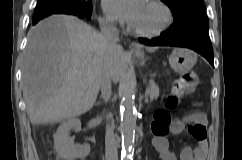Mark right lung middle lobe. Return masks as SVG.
Instances as JSON below:
<instances>
[{"label": "right lung middle lobe", "instance_id": "obj_1", "mask_svg": "<svg viewBox=\"0 0 242 160\" xmlns=\"http://www.w3.org/2000/svg\"><path fill=\"white\" fill-rule=\"evenodd\" d=\"M92 13V0H38L33 19L43 18L51 14Z\"/></svg>", "mask_w": 242, "mask_h": 160}]
</instances>
